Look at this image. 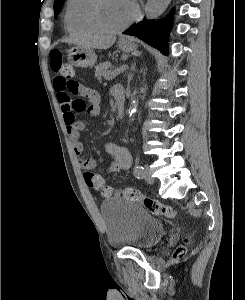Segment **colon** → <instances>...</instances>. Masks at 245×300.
<instances>
[{
	"mask_svg": "<svg viewBox=\"0 0 245 300\" xmlns=\"http://www.w3.org/2000/svg\"><path fill=\"white\" fill-rule=\"evenodd\" d=\"M50 67L60 78L64 79L68 83L69 89H74L75 81L71 79L74 74L73 68L64 62L63 55L58 50H53L50 53ZM86 104L81 99H75L73 101V107L75 110L81 111L85 108ZM89 187L98 190L104 196H121L127 200L140 202L148 211L155 215H161L168 218L176 215L175 210L160 201L150 198L144 195L141 191L134 188L114 189L111 186L105 184L104 179L97 174H90L87 179ZM184 249L180 248L176 255L182 256Z\"/></svg>",
	"mask_w": 245,
	"mask_h": 300,
	"instance_id": "1",
	"label": "colon"
}]
</instances>
